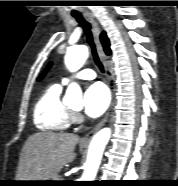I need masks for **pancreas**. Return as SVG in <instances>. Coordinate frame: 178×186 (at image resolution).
Returning a JSON list of instances; mask_svg holds the SVG:
<instances>
[{"instance_id": "obj_1", "label": "pancreas", "mask_w": 178, "mask_h": 186, "mask_svg": "<svg viewBox=\"0 0 178 186\" xmlns=\"http://www.w3.org/2000/svg\"><path fill=\"white\" fill-rule=\"evenodd\" d=\"M54 178H55V180H59V181H61V180H62V177H61V176H59V175H55V176H54Z\"/></svg>"}]
</instances>
